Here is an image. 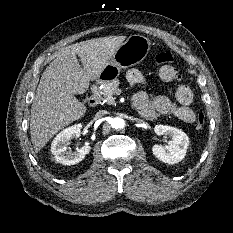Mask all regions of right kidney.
Listing matches in <instances>:
<instances>
[{
    "mask_svg": "<svg viewBox=\"0 0 233 233\" xmlns=\"http://www.w3.org/2000/svg\"><path fill=\"white\" fill-rule=\"evenodd\" d=\"M81 134L80 125L70 126L63 129L52 141L51 152L54 154V158L57 162L63 165H74L79 163L85 158V155L90 153L91 146L86 143L80 149H76L75 152H71L68 145L74 138H78Z\"/></svg>",
    "mask_w": 233,
    "mask_h": 233,
    "instance_id": "1",
    "label": "right kidney"
}]
</instances>
